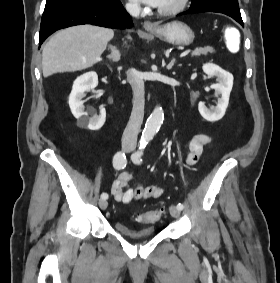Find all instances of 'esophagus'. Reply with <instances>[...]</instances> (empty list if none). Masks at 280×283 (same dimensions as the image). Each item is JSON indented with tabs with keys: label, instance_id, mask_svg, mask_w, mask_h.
Segmentation results:
<instances>
[{
	"label": "esophagus",
	"instance_id": "obj_1",
	"mask_svg": "<svg viewBox=\"0 0 280 283\" xmlns=\"http://www.w3.org/2000/svg\"><path fill=\"white\" fill-rule=\"evenodd\" d=\"M145 30L152 31L157 29V25L152 23L151 21H145L143 24Z\"/></svg>",
	"mask_w": 280,
	"mask_h": 283
}]
</instances>
